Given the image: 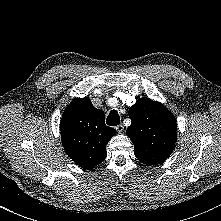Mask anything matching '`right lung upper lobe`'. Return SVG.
<instances>
[{"mask_svg": "<svg viewBox=\"0 0 221 221\" xmlns=\"http://www.w3.org/2000/svg\"><path fill=\"white\" fill-rule=\"evenodd\" d=\"M67 155L80 167L91 169L105 159L106 145L116 130L105 125V114L90 99L75 98L65 109L60 123Z\"/></svg>", "mask_w": 221, "mask_h": 221, "instance_id": "cb5924a9", "label": "right lung upper lobe"}]
</instances>
